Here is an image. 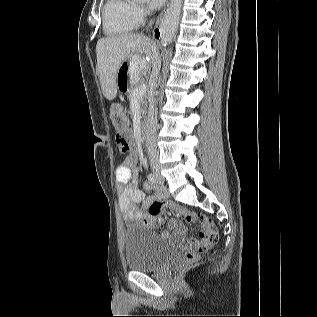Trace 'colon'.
<instances>
[{
  "mask_svg": "<svg viewBox=\"0 0 317 317\" xmlns=\"http://www.w3.org/2000/svg\"><path fill=\"white\" fill-rule=\"evenodd\" d=\"M110 120L115 131V140L120 151L129 154L128 161L134 162V135L130 122L119 105H114L110 110ZM163 210H172L181 214H186L187 211L180 206L170 202H152L149 206V214L158 216ZM217 233L212 226L205 228L198 239H191L187 243V251L184 254L180 265L187 267L194 264L202 253L207 252L216 242Z\"/></svg>",
  "mask_w": 317,
  "mask_h": 317,
  "instance_id": "colon-1",
  "label": "colon"
}]
</instances>
